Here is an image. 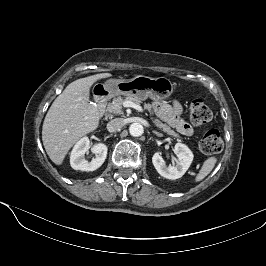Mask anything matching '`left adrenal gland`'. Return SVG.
<instances>
[{
	"label": "left adrenal gland",
	"instance_id": "1",
	"mask_svg": "<svg viewBox=\"0 0 266 266\" xmlns=\"http://www.w3.org/2000/svg\"><path fill=\"white\" fill-rule=\"evenodd\" d=\"M152 132H153L154 134L158 135V136H162V134H161L160 132L156 131V130H153Z\"/></svg>",
	"mask_w": 266,
	"mask_h": 266
}]
</instances>
